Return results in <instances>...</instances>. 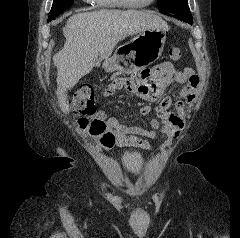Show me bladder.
<instances>
[{
	"label": "bladder",
	"mask_w": 240,
	"mask_h": 238,
	"mask_svg": "<svg viewBox=\"0 0 240 238\" xmlns=\"http://www.w3.org/2000/svg\"><path fill=\"white\" fill-rule=\"evenodd\" d=\"M120 163L130 176H138L145 166V158L138 151L125 150L120 156Z\"/></svg>",
	"instance_id": "bladder-1"
}]
</instances>
